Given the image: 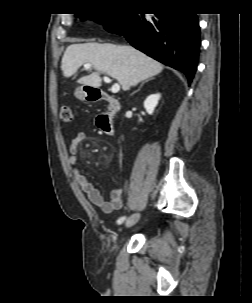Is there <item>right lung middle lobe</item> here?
<instances>
[{
	"instance_id": "right-lung-middle-lobe-1",
	"label": "right lung middle lobe",
	"mask_w": 252,
	"mask_h": 303,
	"mask_svg": "<svg viewBox=\"0 0 252 303\" xmlns=\"http://www.w3.org/2000/svg\"><path fill=\"white\" fill-rule=\"evenodd\" d=\"M82 20L92 19L95 21L102 22L105 25L111 26L119 22L122 18H124L128 14L124 13H82L76 14Z\"/></svg>"
}]
</instances>
